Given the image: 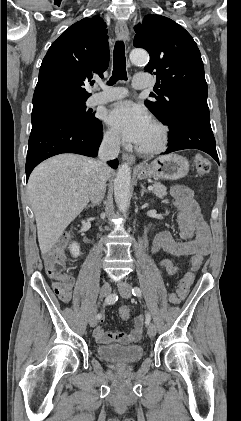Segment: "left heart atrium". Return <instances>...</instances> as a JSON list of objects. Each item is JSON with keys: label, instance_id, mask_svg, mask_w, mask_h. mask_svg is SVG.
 Masks as SVG:
<instances>
[{"label": "left heart atrium", "instance_id": "obj_1", "mask_svg": "<svg viewBox=\"0 0 241 421\" xmlns=\"http://www.w3.org/2000/svg\"><path fill=\"white\" fill-rule=\"evenodd\" d=\"M106 123L125 142L140 144L152 125V119L142 106L131 101L113 104L105 113Z\"/></svg>", "mask_w": 241, "mask_h": 421}]
</instances>
